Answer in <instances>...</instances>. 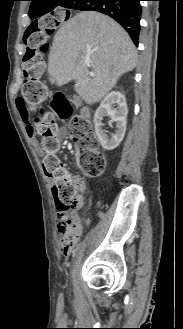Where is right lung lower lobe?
Masks as SVG:
<instances>
[{
    "label": "right lung lower lobe",
    "mask_w": 183,
    "mask_h": 329,
    "mask_svg": "<svg viewBox=\"0 0 183 329\" xmlns=\"http://www.w3.org/2000/svg\"><path fill=\"white\" fill-rule=\"evenodd\" d=\"M141 0H73L67 8L82 11H98L116 20L129 33L138 46Z\"/></svg>",
    "instance_id": "obj_1"
}]
</instances>
